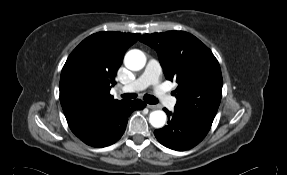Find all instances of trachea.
Listing matches in <instances>:
<instances>
[{
	"label": "trachea",
	"mask_w": 287,
	"mask_h": 175,
	"mask_svg": "<svg viewBox=\"0 0 287 175\" xmlns=\"http://www.w3.org/2000/svg\"><path fill=\"white\" fill-rule=\"evenodd\" d=\"M121 97L123 99H134L137 97V95L135 93H125V94H122ZM144 100L148 104H151V105L158 103V100L153 95H149V94L144 95Z\"/></svg>",
	"instance_id": "3493384b"
}]
</instances>
